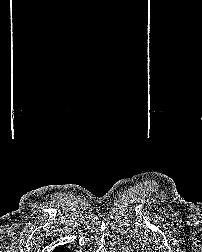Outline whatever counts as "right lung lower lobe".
<instances>
[{"mask_svg":"<svg viewBox=\"0 0 202 252\" xmlns=\"http://www.w3.org/2000/svg\"><path fill=\"white\" fill-rule=\"evenodd\" d=\"M62 250H55V252H72L71 250H69L68 248L62 246L61 247Z\"/></svg>","mask_w":202,"mask_h":252,"instance_id":"98d812e1","label":"right lung lower lobe"}]
</instances>
